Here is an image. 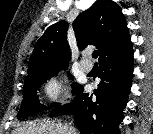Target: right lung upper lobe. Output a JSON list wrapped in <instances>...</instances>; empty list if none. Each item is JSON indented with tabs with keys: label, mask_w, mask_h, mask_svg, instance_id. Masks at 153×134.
I'll use <instances>...</instances> for the list:
<instances>
[{
	"label": "right lung upper lobe",
	"mask_w": 153,
	"mask_h": 134,
	"mask_svg": "<svg viewBox=\"0 0 153 134\" xmlns=\"http://www.w3.org/2000/svg\"><path fill=\"white\" fill-rule=\"evenodd\" d=\"M67 28V22L59 21L46 29L35 44L29 61L28 76L68 66L71 53L67 43ZM73 28L79 49L96 45L100 58L130 41L122 10L111 0H97L78 15Z\"/></svg>",
	"instance_id": "right-lung-upper-lobe-1"
}]
</instances>
